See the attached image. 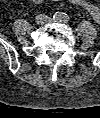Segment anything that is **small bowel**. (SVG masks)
Here are the masks:
<instances>
[{
    "instance_id": "obj_1",
    "label": "small bowel",
    "mask_w": 100,
    "mask_h": 118,
    "mask_svg": "<svg viewBox=\"0 0 100 118\" xmlns=\"http://www.w3.org/2000/svg\"><path fill=\"white\" fill-rule=\"evenodd\" d=\"M27 1L34 4H39L43 2L44 0H27ZM51 1H60V0H51ZM68 1L84 9L93 17L94 20L98 22L100 21V8L97 5H95L93 2H91L90 0H68Z\"/></svg>"
}]
</instances>
